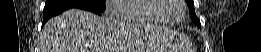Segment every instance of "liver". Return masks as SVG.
Returning <instances> with one entry per match:
<instances>
[{
  "label": "liver",
  "instance_id": "liver-1",
  "mask_svg": "<svg viewBox=\"0 0 261 52\" xmlns=\"http://www.w3.org/2000/svg\"><path fill=\"white\" fill-rule=\"evenodd\" d=\"M165 32L167 29L160 28L148 34L140 24L69 9L44 25L39 52H126L122 51L126 46L129 50L150 51L163 46Z\"/></svg>",
  "mask_w": 261,
  "mask_h": 52
}]
</instances>
